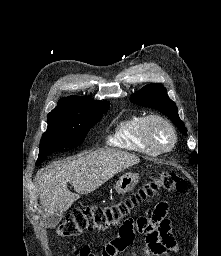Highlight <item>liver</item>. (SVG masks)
I'll return each mask as SVG.
<instances>
[{"label": "liver", "mask_w": 221, "mask_h": 256, "mask_svg": "<svg viewBox=\"0 0 221 256\" xmlns=\"http://www.w3.org/2000/svg\"><path fill=\"white\" fill-rule=\"evenodd\" d=\"M140 159L116 149H101L83 157L57 162L39 175L38 193L44 219L67 211L80 194L93 192L117 173L134 166ZM70 183L76 193L70 192Z\"/></svg>", "instance_id": "6515ba94"}]
</instances>
